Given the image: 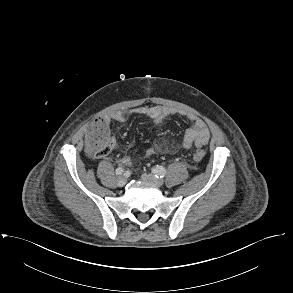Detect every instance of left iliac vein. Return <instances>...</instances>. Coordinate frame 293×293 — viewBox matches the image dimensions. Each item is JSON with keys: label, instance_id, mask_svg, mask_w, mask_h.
I'll use <instances>...</instances> for the list:
<instances>
[{"label": "left iliac vein", "instance_id": "1", "mask_svg": "<svg viewBox=\"0 0 293 293\" xmlns=\"http://www.w3.org/2000/svg\"><path fill=\"white\" fill-rule=\"evenodd\" d=\"M142 179L153 184L156 187H161L164 183L163 179L157 178L154 174H143Z\"/></svg>", "mask_w": 293, "mask_h": 293}]
</instances>
